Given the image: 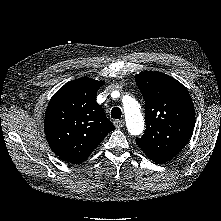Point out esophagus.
I'll return each mask as SVG.
<instances>
[{
	"mask_svg": "<svg viewBox=\"0 0 221 221\" xmlns=\"http://www.w3.org/2000/svg\"><path fill=\"white\" fill-rule=\"evenodd\" d=\"M114 125L116 128H122L124 126V121L123 120H115Z\"/></svg>",
	"mask_w": 221,
	"mask_h": 221,
	"instance_id": "1",
	"label": "esophagus"
}]
</instances>
